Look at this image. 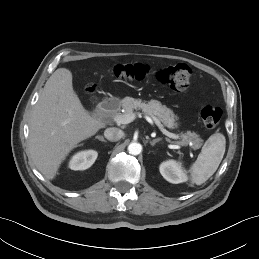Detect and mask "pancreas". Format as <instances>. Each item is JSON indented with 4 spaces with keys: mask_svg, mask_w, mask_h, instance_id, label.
<instances>
[{
    "mask_svg": "<svg viewBox=\"0 0 259 259\" xmlns=\"http://www.w3.org/2000/svg\"><path fill=\"white\" fill-rule=\"evenodd\" d=\"M119 105L124 109L125 114L133 113L134 110H142V112L157 118L163 125L169 128H174L176 126L173 112L157 100H151L150 102L145 103L141 99L125 97L119 102ZM115 112L116 111H113L112 113ZM202 142L203 140L195 132L187 131L186 133L181 134L178 144L182 146L191 145L193 149H199Z\"/></svg>",
    "mask_w": 259,
    "mask_h": 259,
    "instance_id": "obj_1",
    "label": "pancreas"
}]
</instances>
